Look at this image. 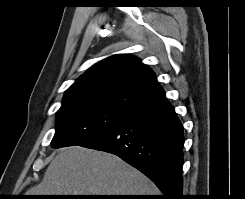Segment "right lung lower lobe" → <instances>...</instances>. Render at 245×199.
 <instances>
[{"label":"right lung lower lobe","mask_w":245,"mask_h":199,"mask_svg":"<svg viewBox=\"0 0 245 199\" xmlns=\"http://www.w3.org/2000/svg\"><path fill=\"white\" fill-rule=\"evenodd\" d=\"M183 127L167 99L129 113L81 146L115 154L150 178L164 194L182 199Z\"/></svg>","instance_id":"right-lung-lower-lobe-1"}]
</instances>
